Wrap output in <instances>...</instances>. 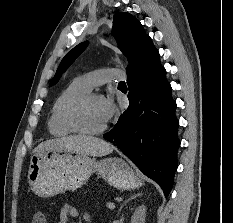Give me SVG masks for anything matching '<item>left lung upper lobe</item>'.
I'll return each instance as SVG.
<instances>
[{
  "mask_svg": "<svg viewBox=\"0 0 233 223\" xmlns=\"http://www.w3.org/2000/svg\"><path fill=\"white\" fill-rule=\"evenodd\" d=\"M112 33L117 40L119 49L127 56L130 71L139 61L145 49L152 44L151 38L145 33L141 23L130 13L120 12L114 16ZM87 42L80 43L69 51L60 63L50 85L55 84L67 68L86 48Z\"/></svg>",
  "mask_w": 233,
  "mask_h": 223,
  "instance_id": "5c2ea615",
  "label": "left lung upper lobe"
}]
</instances>
